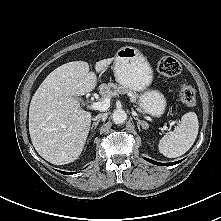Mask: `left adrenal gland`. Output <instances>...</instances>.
<instances>
[{"label": "left adrenal gland", "mask_w": 221, "mask_h": 221, "mask_svg": "<svg viewBox=\"0 0 221 221\" xmlns=\"http://www.w3.org/2000/svg\"><path fill=\"white\" fill-rule=\"evenodd\" d=\"M134 119L137 121V127L140 130V126H142L143 129H148L149 125L147 122L140 120L137 117H134Z\"/></svg>", "instance_id": "left-adrenal-gland-1"}]
</instances>
